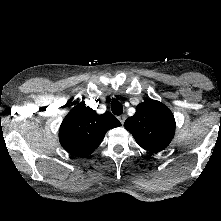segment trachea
<instances>
[{
  "mask_svg": "<svg viewBox=\"0 0 221 221\" xmlns=\"http://www.w3.org/2000/svg\"><path fill=\"white\" fill-rule=\"evenodd\" d=\"M111 110L115 115H121L123 113V106L118 100L111 102Z\"/></svg>",
  "mask_w": 221,
  "mask_h": 221,
  "instance_id": "3493384b",
  "label": "trachea"
}]
</instances>
